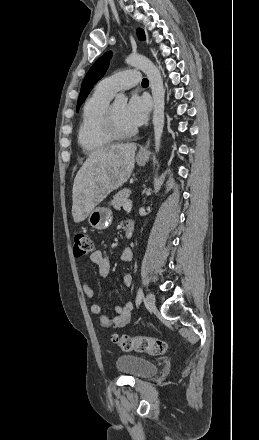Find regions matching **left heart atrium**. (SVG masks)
<instances>
[{
  "label": "left heart atrium",
  "instance_id": "1",
  "mask_svg": "<svg viewBox=\"0 0 259 440\" xmlns=\"http://www.w3.org/2000/svg\"><path fill=\"white\" fill-rule=\"evenodd\" d=\"M149 111L150 102L148 98L134 94L126 104L125 116L128 122L134 128H137L147 121Z\"/></svg>",
  "mask_w": 259,
  "mask_h": 440
}]
</instances>
